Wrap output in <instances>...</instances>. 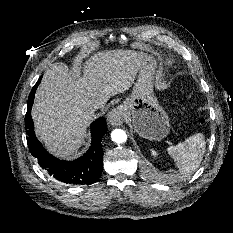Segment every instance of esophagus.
Listing matches in <instances>:
<instances>
[{"label":"esophagus","mask_w":233,"mask_h":233,"mask_svg":"<svg viewBox=\"0 0 233 233\" xmlns=\"http://www.w3.org/2000/svg\"><path fill=\"white\" fill-rule=\"evenodd\" d=\"M108 123L112 126L123 124L125 120V112L121 106L114 108L107 116Z\"/></svg>","instance_id":"esophagus-1"}]
</instances>
